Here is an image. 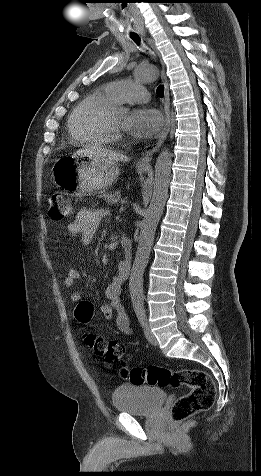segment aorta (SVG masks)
Returning <instances> with one entry per match:
<instances>
[{
  "label": "aorta",
  "instance_id": "obj_1",
  "mask_svg": "<svg viewBox=\"0 0 261 476\" xmlns=\"http://www.w3.org/2000/svg\"><path fill=\"white\" fill-rule=\"evenodd\" d=\"M136 76L144 82H153L157 79L158 71L153 65L139 66ZM127 112V109H122ZM172 154L167 150L160 152L155 164V178L150 204L145 212L140 227L139 243L129 278V290L134 307H141L144 303L143 274L149 261L155 232L163 209L168 198Z\"/></svg>",
  "mask_w": 261,
  "mask_h": 476
}]
</instances>
